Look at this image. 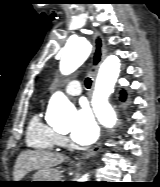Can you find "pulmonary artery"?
I'll use <instances>...</instances> for the list:
<instances>
[{"instance_id":"e3ab8cb5","label":"pulmonary artery","mask_w":160,"mask_h":187,"mask_svg":"<svg viewBox=\"0 0 160 187\" xmlns=\"http://www.w3.org/2000/svg\"><path fill=\"white\" fill-rule=\"evenodd\" d=\"M65 91L70 96H79V95H81L82 91H81V84H80V82L78 80L70 81L66 85Z\"/></svg>"}]
</instances>
